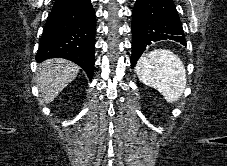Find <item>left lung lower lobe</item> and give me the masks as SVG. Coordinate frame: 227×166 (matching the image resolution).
Masks as SVG:
<instances>
[{
  "mask_svg": "<svg viewBox=\"0 0 227 166\" xmlns=\"http://www.w3.org/2000/svg\"><path fill=\"white\" fill-rule=\"evenodd\" d=\"M132 35V67L152 41L171 39L186 45L173 0H136L132 12Z\"/></svg>",
  "mask_w": 227,
  "mask_h": 166,
  "instance_id": "obj_1",
  "label": "left lung lower lobe"
}]
</instances>
